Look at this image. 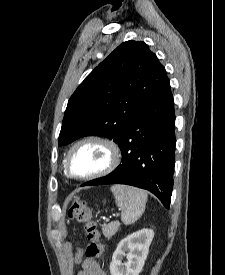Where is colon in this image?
<instances>
[{
  "label": "colon",
  "instance_id": "colon-1",
  "mask_svg": "<svg viewBox=\"0 0 225 275\" xmlns=\"http://www.w3.org/2000/svg\"><path fill=\"white\" fill-rule=\"evenodd\" d=\"M68 217L81 224L82 231L89 241L85 249V256L89 259L101 257L104 252V246L101 242L97 223L88 204L81 199L73 200L68 209ZM81 255V250H78L76 252V261H80Z\"/></svg>",
  "mask_w": 225,
  "mask_h": 275
}]
</instances>
